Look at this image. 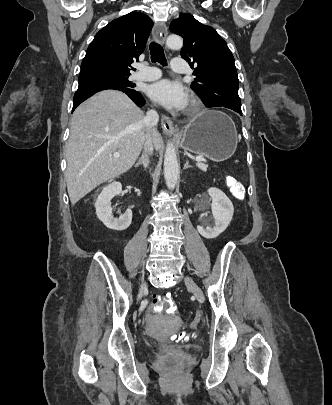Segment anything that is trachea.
Segmentation results:
<instances>
[{"label": "trachea", "instance_id": "3493384b", "mask_svg": "<svg viewBox=\"0 0 332 405\" xmlns=\"http://www.w3.org/2000/svg\"><path fill=\"white\" fill-rule=\"evenodd\" d=\"M149 49H150L151 61L153 63L158 62L163 66L167 65V60L164 55V50L160 44H158L156 42H151V44L149 45Z\"/></svg>", "mask_w": 332, "mask_h": 405}]
</instances>
